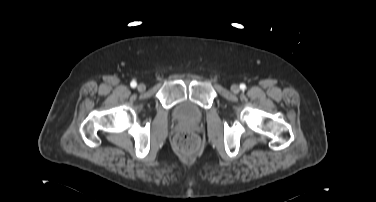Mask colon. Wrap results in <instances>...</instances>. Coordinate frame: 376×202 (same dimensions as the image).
<instances>
[{
    "mask_svg": "<svg viewBox=\"0 0 376 202\" xmlns=\"http://www.w3.org/2000/svg\"><path fill=\"white\" fill-rule=\"evenodd\" d=\"M175 147L185 153L194 152L199 146V139L196 135L188 132H178L174 138Z\"/></svg>",
    "mask_w": 376,
    "mask_h": 202,
    "instance_id": "colon-1",
    "label": "colon"
}]
</instances>
